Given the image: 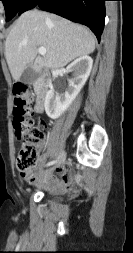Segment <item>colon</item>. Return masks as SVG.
Returning a JSON list of instances; mask_svg holds the SVG:
<instances>
[{
  "instance_id": "colon-1",
  "label": "colon",
  "mask_w": 133,
  "mask_h": 253,
  "mask_svg": "<svg viewBox=\"0 0 133 253\" xmlns=\"http://www.w3.org/2000/svg\"><path fill=\"white\" fill-rule=\"evenodd\" d=\"M31 101L32 95L27 86L14 88L13 128L16 139L22 143L17 156V167L21 172L36 166L40 144L45 138L42 126L35 124L32 118Z\"/></svg>"
}]
</instances>
